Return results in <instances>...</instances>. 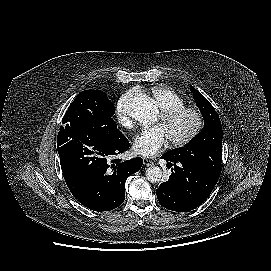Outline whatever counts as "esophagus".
I'll list each match as a JSON object with an SVG mask.
<instances>
[{"mask_svg":"<svg viewBox=\"0 0 271 271\" xmlns=\"http://www.w3.org/2000/svg\"><path fill=\"white\" fill-rule=\"evenodd\" d=\"M143 164L147 167L154 165V162L150 159L143 158Z\"/></svg>","mask_w":271,"mask_h":271,"instance_id":"esophagus-1","label":"esophagus"}]
</instances>
